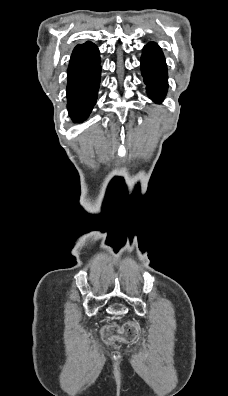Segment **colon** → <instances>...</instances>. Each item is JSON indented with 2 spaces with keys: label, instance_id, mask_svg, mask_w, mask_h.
<instances>
[{
  "label": "colon",
  "instance_id": "obj_1",
  "mask_svg": "<svg viewBox=\"0 0 228 396\" xmlns=\"http://www.w3.org/2000/svg\"><path fill=\"white\" fill-rule=\"evenodd\" d=\"M139 332V326L135 321H130L122 326L107 325L103 327V337L107 342L120 340L124 342H133Z\"/></svg>",
  "mask_w": 228,
  "mask_h": 396
}]
</instances>
